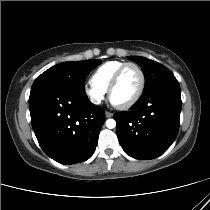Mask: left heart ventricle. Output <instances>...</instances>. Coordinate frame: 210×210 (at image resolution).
<instances>
[{
	"mask_svg": "<svg viewBox=\"0 0 210 210\" xmlns=\"http://www.w3.org/2000/svg\"><path fill=\"white\" fill-rule=\"evenodd\" d=\"M140 74L135 67H127L121 74L119 82L112 93V101L123 104L131 100L140 86Z\"/></svg>",
	"mask_w": 210,
	"mask_h": 210,
	"instance_id": "left-heart-ventricle-1",
	"label": "left heart ventricle"
}]
</instances>
